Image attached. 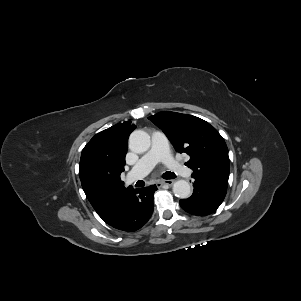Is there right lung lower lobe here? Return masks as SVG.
Listing matches in <instances>:
<instances>
[{
    "mask_svg": "<svg viewBox=\"0 0 301 301\" xmlns=\"http://www.w3.org/2000/svg\"><path fill=\"white\" fill-rule=\"evenodd\" d=\"M156 190V185L147 188H129L106 223L123 231L138 230L152 215L153 194Z\"/></svg>",
    "mask_w": 301,
    "mask_h": 301,
    "instance_id": "right-lung-lower-lobe-1",
    "label": "right lung lower lobe"
}]
</instances>
